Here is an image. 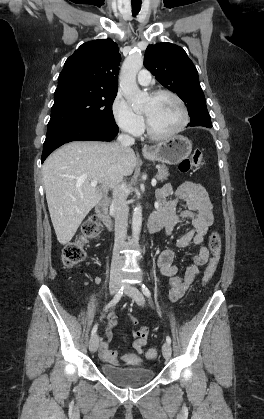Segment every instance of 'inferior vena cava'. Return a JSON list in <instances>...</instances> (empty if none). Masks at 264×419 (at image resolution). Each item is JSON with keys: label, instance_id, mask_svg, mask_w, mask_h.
Segmentation results:
<instances>
[{"label": "inferior vena cava", "instance_id": "inferior-vena-cava-1", "mask_svg": "<svg viewBox=\"0 0 264 419\" xmlns=\"http://www.w3.org/2000/svg\"><path fill=\"white\" fill-rule=\"evenodd\" d=\"M118 142L121 148L128 147L134 144L135 139L128 134H120L118 136ZM113 188V200L112 205L114 207V218H115V244L114 253L112 258V269L117 270L122 266V258L118 251L121 246L124 245L127 236L128 227V213L129 208L126 203L127 190L126 185L122 182Z\"/></svg>", "mask_w": 264, "mask_h": 419}]
</instances>
